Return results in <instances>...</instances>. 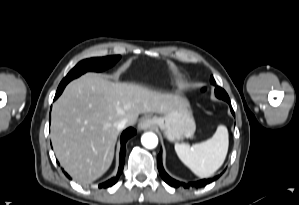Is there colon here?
Instances as JSON below:
<instances>
[{"mask_svg":"<svg viewBox=\"0 0 299 205\" xmlns=\"http://www.w3.org/2000/svg\"><path fill=\"white\" fill-rule=\"evenodd\" d=\"M202 91L205 92V91H206V88H202Z\"/></svg>","mask_w":299,"mask_h":205,"instance_id":"5ec220e1","label":"colon"}]
</instances>
